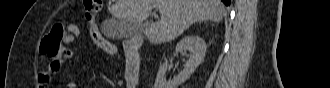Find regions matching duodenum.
Returning <instances> with one entry per match:
<instances>
[{
    "instance_id": "410a0bca",
    "label": "duodenum",
    "mask_w": 330,
    "mask_h": 88,
    "mask_svg": "<svg viewBox=\"0 0 330 88\" xmlns=\"http://www.w3.org/2000/svg\"><path fill=\"white\" fill-rule=\"evenodd\" d=\"M140 46V38L131 39L124 45V50L127 55V64L130 67V69L127 68L126 77L127 79L132 77L129 83L134 85L139 79Z\"/></svg>"
}]
</instances>
